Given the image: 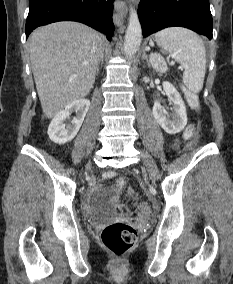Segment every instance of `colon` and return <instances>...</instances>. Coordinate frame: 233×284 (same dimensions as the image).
Segmentation results:
<instances>
[{"label": "colon", "instance_id": "1", "mask_svg": "<svg viewBox=\"0 0 233 284\" xmlns=\"http://www.w3.org/2000/svg\"><path fill=\"white\" fill-rule=\"evenodd\" d=\"M152 66L159 72H165L167 70V63L165 59L158 55L152 54L150 57ZM183 92L190 107L194 110L199 109L200 100L198 95L186 88H183ZM183 137L186 142L193 144L197 140V133L193 126L186 127L183 133ZM104 179L114 180L118 190L122 191L126 187V180L123 177H118L113 171H107L103 174ZM137 211L140 218H146L149 215V206L145 202H139L137 204ZM138 238L137 230L124 222H113L106 225L101 232V241L103 246L110 251L116 262L117 269H120L123 258L134 247Z\"/></svg>", "mask_w": 233, "mask_h": 284}]
</instances>
